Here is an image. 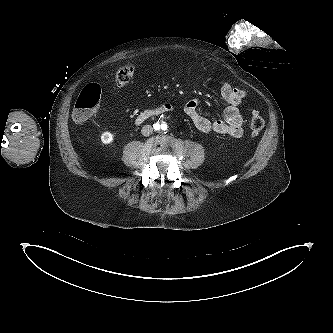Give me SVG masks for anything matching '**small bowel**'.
Listing matches in <instances>:
<instances>
[{
  "label": "small bowel",
  "instance_id": "c3829d8e",
  "mask_svg": "<svg viewBox=\"0 0 333 333\" xmlns=\"http://www.w3.org/2000/svg\"><path fill=\"white\" fill-rule=\"evenodd\" d=\"M220 94L226 103L223 119L211 121L201 115L198 111V100L188 101L184 106V111L195 127L203 133L215 132L240 138L243 134V118L239 106L246 97V92L243 89L232 87L228 83H223Z\"/></svg>",
  "mask_w": 333,
  "mask_h": 333
}]
</instances>
